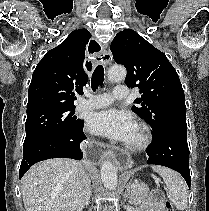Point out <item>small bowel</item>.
<instances>
[{"label":"small bowel","mask_w":209,"mask_h":211,"mask_svg":"<svg viewBox=\"0 0 209 211\" xmlns=\"http://www.w3.org/2000/svg\"><path fill=\"white\" fill-rule=\"evenodd\" d=\"M138 211H165L163 194L152 192Z\"/></svg>","instance_id":"small-bowel-1"}]
</instances>
